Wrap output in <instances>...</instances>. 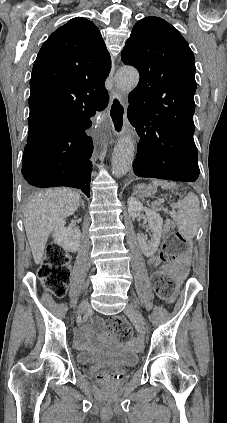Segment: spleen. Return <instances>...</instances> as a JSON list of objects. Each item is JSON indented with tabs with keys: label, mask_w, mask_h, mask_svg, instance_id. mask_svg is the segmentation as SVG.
I'll list each match as a JSON object with an SVG mask.
<instances>
[{
	"label": "spleen",
	"mask_w": 227,
	"mask_h": 423,
	"mask_svg": "<svg viewBox=\"0 0 227 423\" xmlns=\"http://www.w3.org/2000/svg\"><path fill=\"white\" fill-rule=\"evenodd\" d=\"M152 184L154 186H161L163 190H169V188L175 186V184L162 182V180H152ZM154 206H158V202H154ZM171 208H178V211H168L166 208L164 211L165 213H170L171 217L176 221L181 235H184L187 239L194 237L196 235L200 213V202L197 196L193 192H189L183 200H179L177 204H171Z\"/></svg>",
	"instance_id": "3e777b00"
}]
</instances>
